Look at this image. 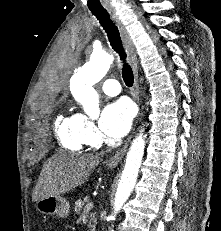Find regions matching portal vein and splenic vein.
I'll list each match as a JSON object with an SVG mask.
<instances>
[{"label": "portal vein and splenic vein", "mask_w": 221, "mask_h": 231, "mask_svg": "<svg viewBox=\"0 0 221 231\" xmlns=\"http://www.w3.org/2000/svg\"><path fill=\"white\" fill-rule=\"evenodd\" d=\"M93 207V203L92 202H88L87 205L85 206L86 210H89Z\"/></svg>", "instance_id": "portal-vein-and-splenic-vein-1"}]
</instances>
